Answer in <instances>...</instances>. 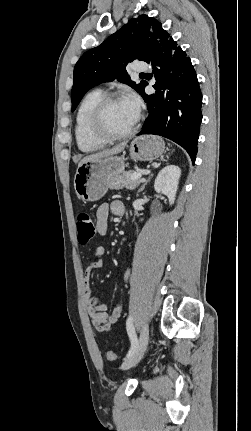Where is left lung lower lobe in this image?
<instances>
[{
	"instance_id": "left-lung-lower-lobe-1",
	"label": "left lung lower lobe",
	"mask_w": 251,
	"mask_h": 431,
	"mask_svg": "<svg viewBox=\"0 0 251 431\" xmlns=\"http://www.w3.org/2000/svg\"><path fill=\"white\" fill-rule=\"evenodd\" d=\"M147 63H152L156 83L155 94L140 95L147 103L148 117L138 135L157 134L181 145L196 159L202 120V94L195 70L186 53L168 37L153 47Z\"/></svg>"
}]
</instances>
